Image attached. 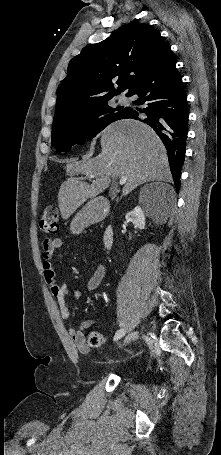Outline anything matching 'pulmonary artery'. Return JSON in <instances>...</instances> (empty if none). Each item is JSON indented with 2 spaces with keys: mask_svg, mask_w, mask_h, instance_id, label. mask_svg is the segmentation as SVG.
Segmentation results:
<instances>
[{
  "mask_svg": "<svg viewBox=\"0 0 221 455\" xmlns=\"http://www.w3.org/2000/svg\"><path fill=\"white\" fill-rule=\"evenodd\" d=\"M120 100H121V102H123V103L127 102V99H126L125 97H122Z\"/></svg>",
  "mask_w": 221,
  "mask_h": 455,
  "instance_id": "pulmonary-artery-1",
  "label": "pulmonary artery"
}]
</instances>
